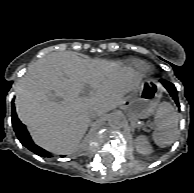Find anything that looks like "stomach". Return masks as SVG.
Masks as SVG:
<instances>
[{
	"instance_id": "1",
	"label": "stomach",
	"mask_w": 194,
	"mask_h": 193,
	"mask_svg": "<svg viewBox=\"0 0 194 193\" xmlns=\"http://www.w3.org/2000/svg\"><path fill=\"white\" fill-rule=\"evenodd\" d=\"M161 87L155 80H144L127 98L121 107L135 118H146L158 107L161 98Z\"/></svg>"
}]
</instances>
